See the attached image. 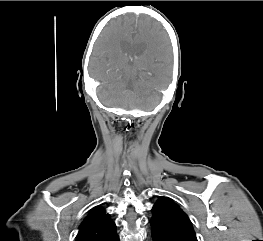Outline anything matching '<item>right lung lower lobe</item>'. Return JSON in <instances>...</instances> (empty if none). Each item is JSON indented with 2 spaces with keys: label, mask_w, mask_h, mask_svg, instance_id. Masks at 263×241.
Returning a JSON list of instances; mask_svg holds the SVG:
<instances>
[{
  "label": "right lung lower lobe",
  "mask_w": 263,
  "mask_h": 241,
  "mask_svg": "<svg viewBox=\"0 0 263 241\" xmlns=\"http://www.w3.org/2000/svg\"><path fill=\"white\" fill-rule=\"evenodd\" d=\"M115 241H119V238H118V236L116 237Z\"/></svg>",
  "instance_id": "1"
}]
</instances>
